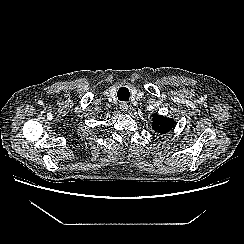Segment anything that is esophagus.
Returning <instances> with one entry per match:
<instances>
[{
    "label": "esophagus",
    "mask_w": 244,
    "mask_h": 244,
    "mask_svg": "<svg viewBox=\"0 0 244 244\" xmlns=\"http://www.w3.org/2000/svg\"><path fill=\"white\" fill-rule=\"evenodd\" d=\"M120 109L122 112H126L128 110V104L123 102L120 104Z\"/></svg>",
    "instance_id": "esophagus-1"
}]
</instances>
